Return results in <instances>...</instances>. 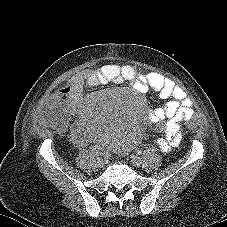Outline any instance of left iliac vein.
<instances>
[{"label":"left iliac vein","mask_w":227,"mask_h":227,"mask_svg":"<svg viewBox=\"0 0 227 227\" xmlns=\"http://www.w3.org/2000/svg\"><path fill=\"white\" fill-rule=\"evenodd\" d=\"M130 162L135 167H140L142 164L141 159L137 156H132Z\"/></svg>","instance_id":"4c4485c4"}]
</instances>
